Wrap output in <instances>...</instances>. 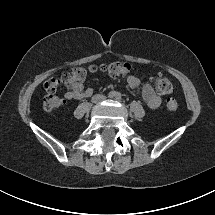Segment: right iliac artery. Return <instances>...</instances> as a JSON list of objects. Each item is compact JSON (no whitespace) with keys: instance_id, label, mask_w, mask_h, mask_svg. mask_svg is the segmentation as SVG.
<instances>
[{"instance_id":"1","label":"right iliac artery","mask_w":215,"mask_h":215,"mask_svg":"<svg viewBox=\"0 0 215 215\" xmlns=\"http://www.w3.org/2000/svg\"><path fill=\"white\" fill-rule=\"evenodd\" d=\"M114 96H115L114 92H110L109 95H108L109 98H113Z\"/></svg>"}]
</instances>
